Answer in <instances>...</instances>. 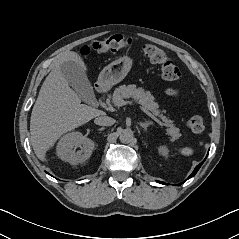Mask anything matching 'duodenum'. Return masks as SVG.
<instances>
[{"label": "duodenum", "instance_id": "duodenum-1", "mask_svg": "<svg viewBox=\"0 0 239 239\" xmlns=\"http://www.w3.org/2000/svg\"><path fill=\"white\" fill-rule=\"evenodd\" d=\"M95 92H96L97 95L103 94V92H104L103 86L100 85V84H97V85L95 86Z\"/></svg>", "mask_w": 239, "mask_h": 239}]
</instances>
